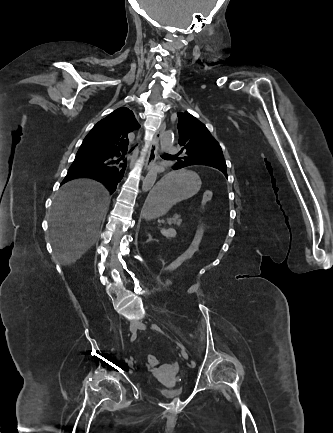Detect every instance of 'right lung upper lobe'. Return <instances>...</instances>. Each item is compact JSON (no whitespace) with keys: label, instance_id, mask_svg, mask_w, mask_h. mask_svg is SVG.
Here are the masks:
<instances>
[{"label":"right lung upper lobe","instance_id":"cb5924a9","mask_svg":"<svg viewBox=\"0 0 333 433\" xmlns=\"http://www.w3.org/2000/svg\"><path fill=\"white\" fill-rule=\"evenodd\" d=\"M139 126L131 110L118 108L99 121L86 138L89 137L93 148L102 154L127 150L128 133Z\"/></svg>","mask_w":333,"mask_h":433}]
</instances>
